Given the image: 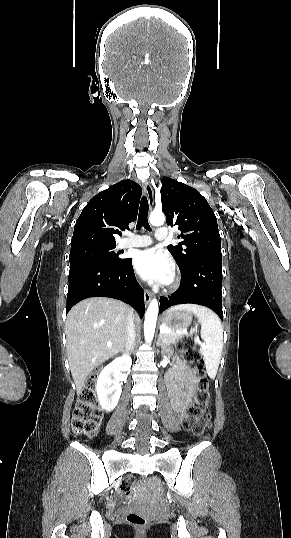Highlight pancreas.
<instances>
[{"instance_id":"cf45deb5","label":"pancreas","mask_w":291,"mask_h":538,"mask_svg":"<svg viewBox=\"0 0 291 538\" xmlns=\"http://www.w3.org/2000/svg\"><path fill=\"white\" fill-rule=\"evenodd\" d=\"M162 341L166 344H176L182 337L183 334H178L176 332H163L160 333Z\"/></svg>"}]
</instances>
